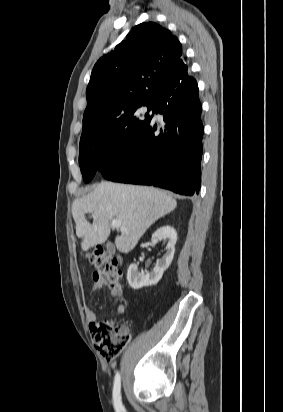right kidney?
Returning a JSON list of instances; mask_svg holds the SVG:
<instances>
[{"label": "right kidney", "mask_w": 283, "mask_h": 412, "mask_svg": "<svg viewBox=\"0 0 283 412\" xmlns=\"http://www.w3.org/2000/svg\"><path fill=\"white\" fill-rule=\"evenodd\" d=\"M159 240L167 242L166 252L162 258L156 261V265L151 272L146 274L139 272L138 265L135 263L129 266L127 280L133 289L157 284L162 278L164 271L170 266L175 253V244L177 241L176 230L169 225L159 228L152 235L151 242L155 245Z\"/></svg>", "instance_id": "ca27d5eb"}]
</instances>
